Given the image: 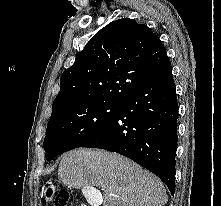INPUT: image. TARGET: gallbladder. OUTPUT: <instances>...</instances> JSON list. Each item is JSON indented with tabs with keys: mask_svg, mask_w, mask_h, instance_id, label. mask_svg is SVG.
<instances>
[{
	"mask_svg": "<svg viewBox=\"0 0 221 206\" xmlns=\"http://www.w3.org/2000/svg\"><path fill=\"white\" fill-rule=\"evenodd\" d=\"M82 194H84V198H89L87 204L91 206H102V202L106 201L103 193H97V189H90L89 185H86L85 189H82Z\"/></svg>",
	"mask_w": 221,
	"mask_h": 206,
	"instance_id": "1",
	"label": "gallbladder"
}]
</instances>
